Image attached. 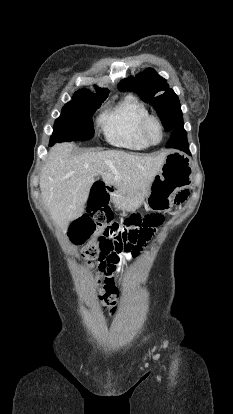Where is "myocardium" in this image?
<instances>
[{
  "instance_id": "obj_1",
  "label": "myocardium",
  "mask_w": 233,
  "mask_h": 414,
  "mask_svg": "<svg viewBox=\"0 0 233 414\" xmlns=\"http://www.w3.org/2000/svg\"><path fill=\"white\" fill-rule=\"evenodd\" d=\"M151 123H155L160 131V138L158 141H153L149 135V126ZM141 131L143 134V137L145 138V140L150 144V145H154V144H158L162 141L163 136H164V126L162 124V121L160 120L159 117L149 114L147 115L142 123H141Z\"/></svg>"
}]
</instances>
